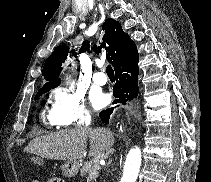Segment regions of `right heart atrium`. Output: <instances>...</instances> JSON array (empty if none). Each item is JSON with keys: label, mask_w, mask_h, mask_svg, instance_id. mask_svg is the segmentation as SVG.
Returning a JSON list of instances; mask_svg holds the SVG:
<instances>
[{"label": "right heart atrium", "mask_w": 211, "mask_h": 182, "mask_svg": "<svg viewBox=\"0 0 211 182\" xmlns=\"http://www.w3.org/2000/svg\"><path fill=\"white\" fill-rule=\"evenodd\" d=\"M51 115L59 126L82 125L91 114L82 93L71 88H59L52 95Z\"/></svg>", "instance_id": "d8ad5b80"}]
</instances>
